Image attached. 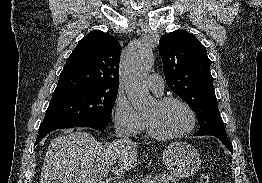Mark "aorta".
Segmentation results:
<instances>
[{
    "label": "aorta",
    "instance_id": "1",
    "mask_svg": "<svg viewBox=\"0 0 262 183\" xmlns=\"http://www.w3.org/2000/svg\"><path fill=\"white\" fill-rule=\"evenodd\" d=\"M154 63L152 49L142 48L136 51L125 68V90L127 97L138 112L146 111L154 103L149 94L145 77Z\"/></svg>",
    "mask_w": 262,
    "mask_h": 183
}]
</instances>
